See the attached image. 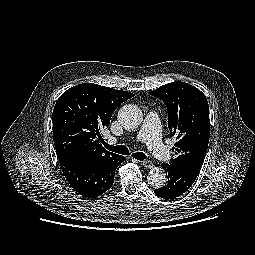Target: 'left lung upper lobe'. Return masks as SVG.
<instances>
[{"label":"left lung upper lobe","instance_id":"5c2ea615","mask_svg":"<svg viewBox=\"0 0 255 255\" xmlns=\"http://www.w3.org/2000/svg\"><path fill=\"white\" fill-rule=\"evenodd\" d=\"M150 94L165 103L170 134L177 137L173 147L176 158L171 159V164L198 176L210 137L209 107L205 95L179 81L163 85Z\"/></svg>","mask_w":255,"mask_h":255}]
</instances>
